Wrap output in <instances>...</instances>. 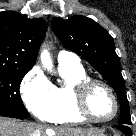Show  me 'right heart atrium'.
I'll list each match as a JSON object with an SVG mask.
<instances>
[{
	"label": "right heart atrium",
	"instance_id": "d8ad5b80",
	"mask_svg": "<svg viewBox=\"0 0 136 136\" xmlns=\"http://www.w3.org/2000/svg\"><path fill=\"white\" fill-rule=\"evenodd\" d=\"M20 93L26 108L40 119H45L54 106L53 85L37 68L25 75Z\"/></svg>",
	"mask_w": 136,
	"mask_h": 136
}]
</instances>
